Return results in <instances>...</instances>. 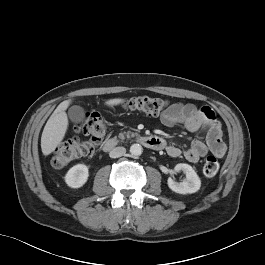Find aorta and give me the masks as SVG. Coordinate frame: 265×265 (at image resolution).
<instances>
[{
  "instance_id": "obj_1",
  "label": "aorta",
  "mask_w": 265,
  "mask_h": 265,
  "mask_svg": "<svg viewBox=\"0 0 265 265\" xmlns=\"http://www.w3.org/2000/svg\"><path fill=\"white\" fill-rule=\"evenodd\" d=\"M143 152L142 146L140 144H132L130 147V153L133 156H140Z\"/></svg>"
}]
</instances>
